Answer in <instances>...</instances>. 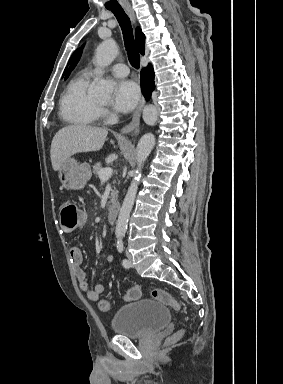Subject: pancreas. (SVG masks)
<instances>
[{"label": "pancreas", "mask_w": 283, "mask_h": 384, "mask_svg": "<svg viewBox=\"0 0 283 384\" xmlns=\"http://www.w3.org/2000/svg\"><path fill=\"white\" fill-rule=\"evenodd\" d=\"M101 170H104V168H102L101 162H97V164H94L93 174H95V176H99V172H101ZM111 196H112L111 202H114L115 198H117L116 190H111Z\"/></svg>", "instance_id": "obj_1"}]
</instances>
